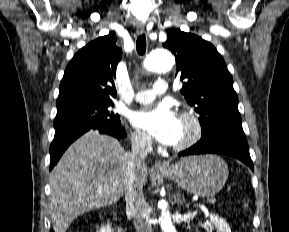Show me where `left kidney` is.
I'll return each instance as SVG.
<instances>
[{
  "label": "left kidney",
  "mask_w": 289,
  "mask_h": 232,
  "mask_svg": "<svg viewBox=\"0 0 289 232\" xmlns=\"http://www.w3.org/2000/svg\"><path fill=\"white\" fill-rule=\"evenodd\" d=\"M209 228L216 229L217 232H231L226 220L212 213L210 214Z\"/></svg>",
  "instance_id": "obj_1"
}]
</instances>
